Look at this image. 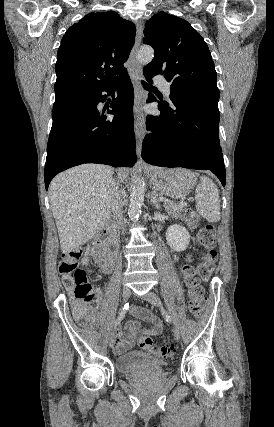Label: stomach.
I'll return each instance as SVG.
<instances>
[{"label": "stomach", "mask_w": 274, "mask_h": 427, "mask_svg": "<svg viewBox=\"0 0 274 427\" xmlns=\"http://www.w3.org/2000/svg\"><path fill=\"white\" fill-rule=\"evenodd\" d=\"M148 176L154 188L168 198H184L193 190L197 180L194 172L183 170V168L163 170V168L150 166Z\"/></svg>", "instance_id": "stomach-1"}]
</instances>
